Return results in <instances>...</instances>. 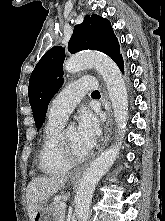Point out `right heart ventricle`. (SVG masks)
Listing matches in <instances>:
<instances>
[{
  "mask_svg": "<svg viewBox=\"0 0 165 221\" xmlns=\"http://www.w3.org/2000/svg\"><path fill=\"white\" fill-rule=\"evenodd\" d=\"M64 121L48 119L38 155V165L42 172L49 175H58L68 172L73 165L65 160L60 146L59 138Z\"/></svg>",
  "mask_w": 165,
  "mask_h": 221,
  "instance_id": "e07e8e85",
  "label": "right heart ventricle"
}]
</instances>
